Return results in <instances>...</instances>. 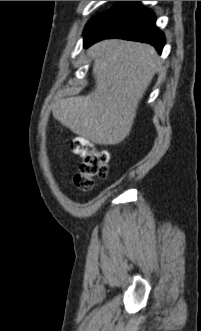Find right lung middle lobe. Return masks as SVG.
<instances>
[{"mask_svg": "<svg viewBox=\"0 0 201 331\" xmlns=\"http://www.w3.org/2000/svg\"><path fill=\"white\" fill-rule=\"evenodd\" d=\"M103 16V14H100V15H98V16H96L95 18H93L92 20H90L88 23H87V25H86V27H85V30H84V32H86L95 22H97L101 17Z\"/></svg>", "mask_w": 201, "mask_h": 331, "instance_id": "right-lung-middle-lobe-1", "label": "right lung middle lobe"}]
</instances>
